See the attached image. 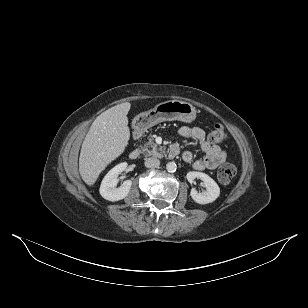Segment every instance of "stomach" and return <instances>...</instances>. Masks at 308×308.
Wrapping results in <instances>:
<instances>
[{
	"instance_id": "0dacf381",
	"label": "stomach",
	"mask_w": 308,
	"mask_h": 308,
	"mask_svg": "<svg viewBox=\"0 0 308 308\" xmlns=\"http://www.w3.org/2000/svg\"><path fill=\"white\" fill-rule=\"evenodd\" d=\"M197 110L189 102L169 100L157 104L153 109L138 114L133 119V126L138 131H145L163 121L192 122Z\"/></svg>"
}]
</instances>
